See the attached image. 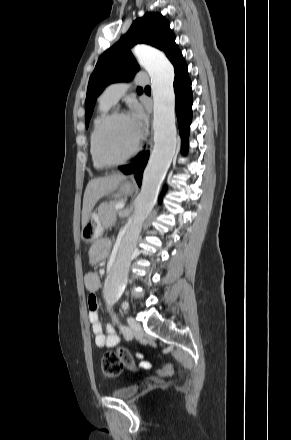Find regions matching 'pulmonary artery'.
<instances>
[{"instance_id":"obj_1","label":"pulmonary artery","mask_w":291,"mask_h":440,"mask_svg":"<svg viewBox=\"0 0 291 440\" xmlns=\"http://www.w3.org/2000/svg\"><path fill=\"white\" fill-rule=\"evenodd\" d=\"M147 75L138 73L132 81H120L108 85L101 93L99 100L105 105L111 107L124 95L131 84L143 86L147 83Z\"/></svg>"}]
</instances>
